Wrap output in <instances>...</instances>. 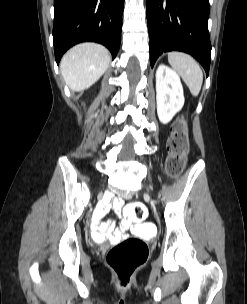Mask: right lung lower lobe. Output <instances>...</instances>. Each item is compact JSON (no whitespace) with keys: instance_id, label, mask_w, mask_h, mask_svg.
Wrapping results in <instances>:
<instances>
[{"instance_id":"obj_1","label":"right lung lower lobe","mask_w":247,"mask_h":304,"mask_svg":"<svg viewBox=\"0 0 247 304\" xmlns=\"http://www.w3.org/2000/svg\"><path fill=\"white\" fill-rule=\"evenodd\" d=\"M55 59L73 45L90 41L105 45L114 59L120 46L124 0H54Z\"/></svg>"}]
</instances>
